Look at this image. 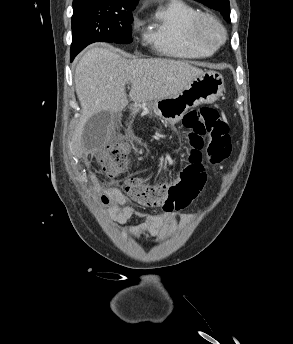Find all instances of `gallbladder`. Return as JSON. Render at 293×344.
Returning a JSON list of instances; mask_svg holds the SVG:
<instances>
[{"instance_id":"1","label":"gallbladder","mask_w":293,"mask_h":344,"mask_svg":"<svg viewBox=\"0 0 293 344\" xmlns=\"http://www.w3.org/2000/svg\"><path fill=\"white\" fill-rule=\"evenodd\" d=\"M112 121L113 114L109 111L96 113L87 120L81 136L86 151L92 152L104 144Z\"/></svg>"}]
</instances>
